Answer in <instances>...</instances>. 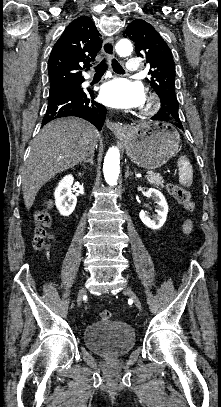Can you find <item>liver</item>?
<instances>
[{
    "mask_svg": "<svg viewBox=\"0 0 221 407\" xmlns=\"http://www.w3.org/2000/svg\"><path fill=\"white\" fill-rule=\"evenodd\" d=\"M99 134L90 123L68 117L46 124L34 138L22 172L24 204L29 210L38 191L56 174L90 157Z\"/></svg>",
    "mask_w": 221,
    "mask_h": 407,
    "instance_id": "1",
    "label": "liver"
}]
</instances>
